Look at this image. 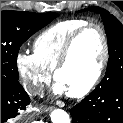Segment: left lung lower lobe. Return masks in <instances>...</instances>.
Listing matches in <instances>:
<instances>
[{
	"label": "left lung lower lobe",
	"instance_id": "1",
	"mask_svg": "<svg viewBox=\"0 0 123 123\" xmlns=\"http://www.w3.org/2000/svg\"><path fill=\"white\" fill-rule=\"evenodd\" d=\"M72 123H123V81L96 87L70 110Z\"/></svg>",
	"mask_w": 123,
	"mask_h": 123
}]
</instances>
